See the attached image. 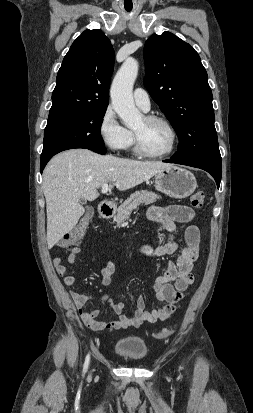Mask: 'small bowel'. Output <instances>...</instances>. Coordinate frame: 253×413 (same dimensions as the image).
Here are the masks:
<instances>
[{"mask_svg": "<svg viewBox=\"0 0 253 413\" xmlns=\"http://www.w3.org/2000/svg\"><path fill=\"white\" fill-rule=\"evenodd\" d=\"M146 216L150 221L160 223L168 234V241L156 247L142 245L141 251L147 256L170 255L179 249V244L173 240V233L176 231V223L186 224L184 232L185 246L180 250L176 261L167 264L165 270L155 278L154 292L160 304L153 309H146L145 298L140 296L137 299L136 307L130 314L125 313V304L115 303L107 296L103 297L105 304L118 316L114 321L106 322L98 319L100 310H84L83 307L93 296L90 294L71 291L70 297L78 309L84 324L95 331L121 330L129 327L138 328L143 323H155L163 321L172 316L179 309V301L187 295L189 285L194 282L192 274L193 263L199 255L200 232L192 222L195 212L192 208L184 205L160 206L150 205ZM81 248L75 246L71 249L68 263L73 265ZM57 274L62 278L66 286H73L76 278L67 274V268L62 264L60 257H55L52 261ZM115 272V266L111 261L100 269L102 285L106 286L111 282Z\"/></svg>", "mask_w": 253, "mask_h": 413, "instance_id": "c3829d8e", "label": "small bowel"}]
</instances>
